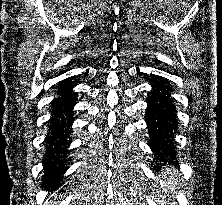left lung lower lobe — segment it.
I'll use <instances>...</instances> for the list:
<instances>
[{"mask_svg": "<svg viewBox=\"0 0 222 205\" xmlns=\"http://www.w3.org/2000/svg\"><path fill=\"white\" fill-rule=\"evenodd\" d=\"M152 90L147 98L146 123L150 133L149 146L156 159L171 161L175 156L173 133L177 128V116L172 89L164 80L151 81ZM163 150L164 153H161Z\"/></svg>", "mask_w": 222, "mask_h": 205, "instance_id": "left-lung-lower-lobe-1", "label": "left lung lower lobe"}]
</instances>
